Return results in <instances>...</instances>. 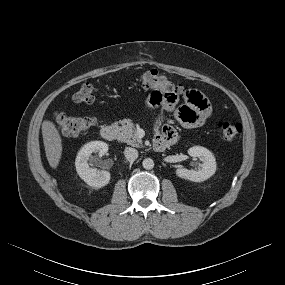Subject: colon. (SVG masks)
I'll list each match as a JSON object with an SVG mask.
<instances>
[{"label": "colon", "instance_id": "colon-1", "mask_svg": "<svg viewBox=\"0 0 285 285\" xmlns=\"http://www.w3.org/2000/svg\"><path fill=\"white\" fill-rule=\"evenodd\" d=\"M141 82L144 88L150 92L157 89H167L170 92H178L185 95L187 90L183 86L169 80L165 75L157 70L146 71ZM74 100L78 103L92 104L96 100L94 87L91 83H84L80 89L74 94ZM57 129L65 136H77L90 130L96 124V119L92 117H76L57 112L54 115ZM218 132L222 139L232 140L242 130L240 123L222 121L217 124Z\"/></svg>", "mask_w": 285, "mask_h": 285}]
</instances>
